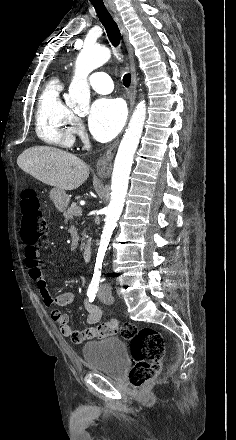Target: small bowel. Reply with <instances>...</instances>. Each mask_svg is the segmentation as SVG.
<instances>
[{
	"mask_svg": "<svg viewBox=\"0 0 236 440\" xmlns=\"http://www.w3.org/2000/svg\"><path fill=\"white\" fill-rule=\"evenodd\" d=\"M24 257L28 275L35 282L44 305L51 308V318L58 324L59 332L63 337L71 338L75 344H81L88 339H96L98 342L114 339V330L118 328L117 321H99L101 311L95 304L89 301V298L84 300L89 325L82 331H79L77 328L73 330L69 315L63 313L60 307L70 305L74 300V294L70 291H66L58 294L56 297L51 296L47 281L39 264V251L34 244L25 245ZM97 322L98 324H96Z\"/></svg>",
	"mask_w": 236,
	"mask_h": 440,
	"instance_id": "obj_1",
	"label": "small bowel"
}]
</instances>
